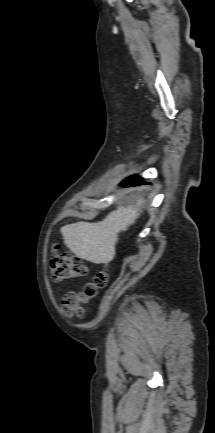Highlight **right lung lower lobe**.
Listing matches in <instances>:
<instances>
[{"label": "right lung lower lobe", "mask_w": 215, "mask_h": 433, "mask_svg": "<svg viewBox=\"0 0 215 433\" xmlns=\"http://www.w3.org/2000/svg\"><path fill=\"white\" fill-rule=\"evenodd\" d=\"M143 179L142 178H135V177H130L126 180H124L122 183L123 186L128 187V186H135V185H140L142 184Z\"/></svg>", "instance_id": "98d812e1"}]
</instances>
